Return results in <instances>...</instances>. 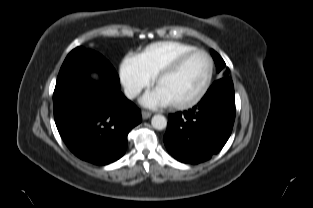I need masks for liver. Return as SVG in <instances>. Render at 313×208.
Returning <instances> with one entry per match:
<instances>
[{
	"instance_id": "1",
	"label": "liver",
	"mask_w": 313,
	"mask_h": 208,
	"mask_svg": "<svg viewBox=\"0 0 313 208\" xmlns=\"http://www.w3.org/2000/svg\"><path fill=\"white\" fill-rule=\"evenodd\" d=\"M92 77H93L94 79H97V78H98L97 74H92Z\"/></svg>"
}]
</instances>
